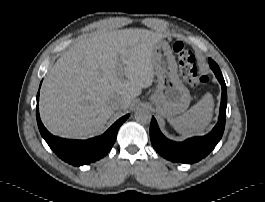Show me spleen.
Returning <instances> with one entry per match:
<instances>
[{"label": "spleen", "mask_w": 265, "mask_h": 202, "mask_svg": "<svg viewBox=\"0 0 265 202\" xmlns=\"http://www.w3.org/2000/svg\"><path fill=\"white\" fill-rule=\"evenodd\" d=\"M214 101L207 93L183 115L169 118L168 122L183 136L203 135L212 119Z\"/></svg>", "instance_id": "3e777b00"}]
</instances>
